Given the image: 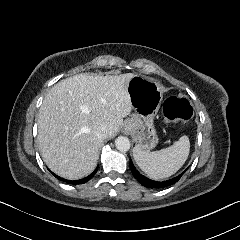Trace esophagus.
<instances>
[{"label": "esophagus", "mask_w": 240, "mask_h": 240, "mask_svg": "<svg viewBox=\"0 0 240 240\" xmlns=\"http://www.w3.org/2000/svg\"><path fill=\"white\" fill-rule=\"evenodd\" d=\"M128 126H131V123H128Z\"/></svg>", "instance_id": "1"}]
</instances>
